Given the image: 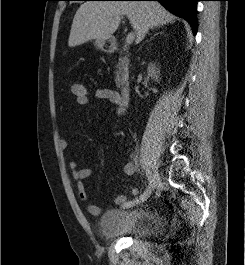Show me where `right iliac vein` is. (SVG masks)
I'll return each instance as SVG.
<instances>
[{"label": "right iliac vein", "mask_w": 245, "mask_h": 265, "mask_svg": "<svg viewBox=\"0 0 245 265\" xmlns=\"http://www.w3.org/2000/svg\"><path fill=\"white\" fill-rule=\"evenodd\" d=\"M151 176H152V184H151L150 193H151L152 190H154L156 188V186H157V184L159 183V180H160L159 173L156 170L153 171Z\"/></svg>", "instance_id": "63e3f726"}]
</instances>
